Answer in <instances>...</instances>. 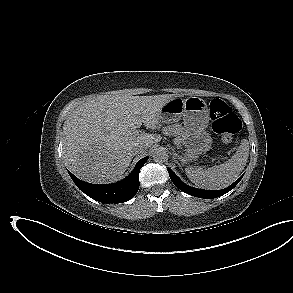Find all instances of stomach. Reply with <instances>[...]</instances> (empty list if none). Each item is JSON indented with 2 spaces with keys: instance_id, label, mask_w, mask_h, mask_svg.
Here are the masks:
<instances>
[{
  "instance_id": "stomach-1",
  "label": "stomach",
  "mask_w": 293,
  "mask_h": 293,
  "mask_svg": "<svg viewBox=\"0 0 293 293\" xmlns=\"http://www.w3.org/2000/svg\"><path fill=\"white\" fill-rule=\"evenodd\" d=\"M183 117L184 143L186 152L183 161L197 159L212 146V138L206 130L210 120V111L206 102L199 97L182 99L177 97L163 106L160 120L168 123Z\"/></svg>"
}]
</instances>
